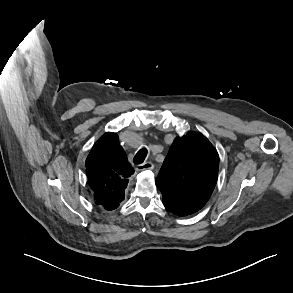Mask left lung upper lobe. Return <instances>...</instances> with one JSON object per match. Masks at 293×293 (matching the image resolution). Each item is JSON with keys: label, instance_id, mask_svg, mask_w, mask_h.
I'll list each match as a JSON object with an SVG mask.
<instances>
[{"label": "left lung upper lobe", "instance_id": "left-lung-upper-lobe-1", "mask_svg": "<svg viewBox=\"0 0 293 293\" xmlns=\"http://www.w3.org/2000/svg\"><path fill=\"white\" fill-rule=\"evenodd\" d=\"M218 167L219 156L214 146L201 133L189 132L174 140L156 185L163 200L195 213L209 200Z\"/></svg>", "mask_w": 293, "mask_h": 293}]
</instances>
